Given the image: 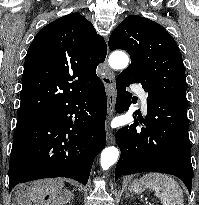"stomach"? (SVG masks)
I'll use <instances>...</instances> for the list:
<instances>
[{
	"mask_svg": "<svg viewBox=\"0 0 199 205\" xmlns=\"http://www.w3.org/2000/svg\"><path fill=\"white\" fill-rule=\"evenodd\" d=\"M130 190L135 194H139L144 191V183L141 180H134L130 184Z\"/></svg>",
	"mask_w": 199,
	"mask_h": 205,
	"instance_id": "stomach-1",
	"label": "stomach"
}]
</instances>
